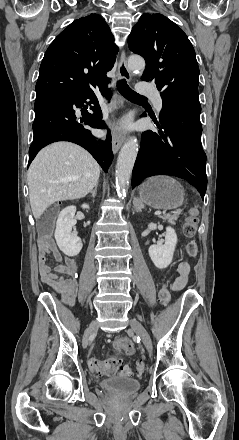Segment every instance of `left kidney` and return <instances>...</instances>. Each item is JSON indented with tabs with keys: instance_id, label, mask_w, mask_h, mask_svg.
<instances>
[{
	"instance_id": "left-kidney-1",
	"label": "left kidney",
	"mask_w": 239,
	"mask_h": 440,
	"mask_svg": "<svg viewBox=\"0 0 239 440\" xmlns=\"http://www.w3.org/2000/svg\"><path fill=\"white\" fill-rule=\"evenodd\" d=\"M177 244V236L173 228H166L165 244H158V246H150L148 252L149 256L156 268L163 270V268H168L173 260V254L175 252Z\"/></svg>"
}]
</instances>
